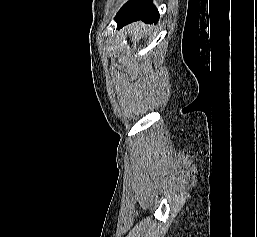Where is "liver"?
<instances>
[{"label":"liver","instance_id":"1","mask_svg":"<svg viewBox=\"0 0 257 237\" xmlns=\"http://www.w3.org/2000/svg\"><path fill=\"white\" fill-rule=\"evenodd\" d=\"M144 31H145V25L141 22L134 23L128 27V32L132 37L133 41H136L139 38H141Z\"/></svg>","mask_w":257,"mask_h":237}]
</instances>
